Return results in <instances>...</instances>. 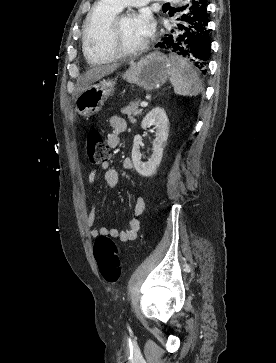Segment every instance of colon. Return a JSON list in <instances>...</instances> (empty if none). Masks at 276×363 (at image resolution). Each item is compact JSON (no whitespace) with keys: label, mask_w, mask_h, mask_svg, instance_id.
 Here are the masks:
<instances>
[{"label":"colon","mask_w":276,"mask_h":363,"mask_svg":"<svg viewBox=\"0 0 276 363\" xmlns=\"http://www.w3.org/2000/svg\"><path fill=\"white\" fill-rule=\"evenodd\" d=\"M86 148L92 164L100 165L107 161L109 150L99 130L88 131ZM93 253L101 276L107 282L115 283L121 275L119 253L115 242L107 236H99L94 242Z\"/></svg>","instance_id":"colon-1"}]
</instances>
